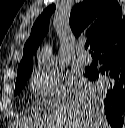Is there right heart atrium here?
Returning a JSON list of instances; mask_svg holds the SVG:
<instances>
[{"label":"right heart atrium","mask_w":125,"mask_h":128,"mask_svg":"<svg viewBox=\"0 0 125 128\" xmlns=\"http://www.w3.org/2000/svg\"><path fill=\"white\" fill-rule=\"evenodd\" d=\"M59 87L57 75L49 69H40L32 75V92L38 105H45Z\"/></svg>","instance_id":"1"}]
</instances>
